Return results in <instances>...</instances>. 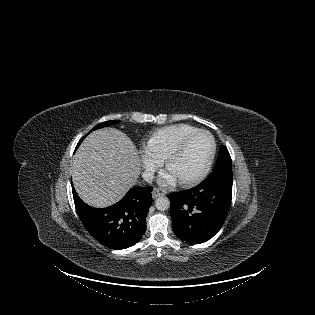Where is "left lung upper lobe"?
<instances>
[{"mask_svg":"<svg viewBox=\"0 0 315 315\" xmlns=\"http://www.w3.org/2000/svg\"><path fill=\"white\" fill-rule=\"evenodd\" d=\"M224 180H233V176L230 154L225 146H221L213 171L204 181L217 183Z\"/></svg>","mask_w":315,"mask_h":315,"instance_id":"left-lung-upper-lobe-1","label":"left lung upper lobe"}]
</instances>
